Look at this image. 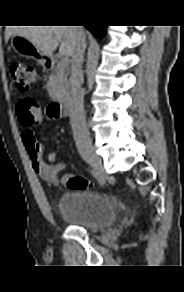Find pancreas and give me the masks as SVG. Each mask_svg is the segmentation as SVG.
<instances>
[{"label":"pancreas","instance_id":"obj_1","mask_svg":"<svg viewBox=\"0 0 184 292\" xmlns=\"http://www.w3.org/2000/svg\"><path fill=\"white\" fill-rule=\"evenodd\" d=\"M67 75V67L61 64H57L50 74L47 91L53 99L65 97L68 94L69 82Z\"/></svg>","mask_w":184,"mask_h":292}]
</instances>
